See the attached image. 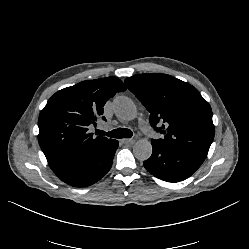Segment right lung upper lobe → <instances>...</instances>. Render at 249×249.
<instances>
[{
	"label": "right lung upper lobe",
	"mask_w": 249,
	"mask_h": 249,
	"mask_svg": "<svg viewBox=\"0 0 249 249\" xmlns=\"http://www.w3.org/2000/svg\"><path fill=\"white\" fill-rule=\"evenodd\" d=\"M125 90L121 80L106 77L64 88L48 100L39 115L38 141L53 172L94 153L110 140L93 137L88 126L96 125L105 103Z\"/></svg>",
	"instance_id": "obj_1"
}]
</instances>
